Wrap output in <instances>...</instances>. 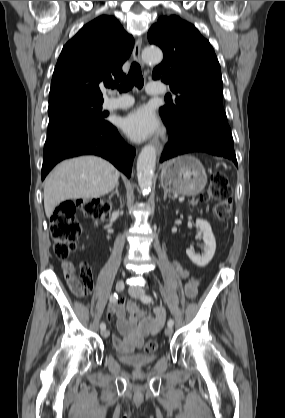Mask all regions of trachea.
Instances as JSON below:
<instances>
[{
	"label": "trachea",
	"instance_id": "trachea-1",
	"mask_svg": "<svg viewBox=\"0 0 285 418\" xmlns=\"http://www.w3.org/2000/svg\"><path fill=\"white\" fill-rule=\"evenodd\" d=\"M144 80L141 73V68L138 63L133 62L130 67V71L124 81L119 84H110L108 87L117 88L120 92H127L132 89L133 86L141 89L143 87Z\"/></svg>",
	"mask_w": 285,
	"mask_h": 418
}]
</instances>
